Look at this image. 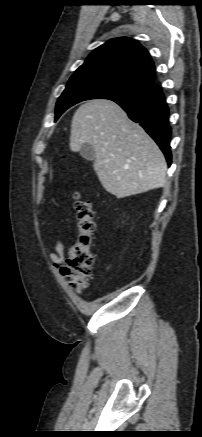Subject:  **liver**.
I'll list each match as a JSON object with an SVG mask.
<instances>
[{"instance_id":"1","label":"liver","mask_w":202,"mask_h":437,"mask_svg":"<svg viewBox=\"0 0 202 437\" xmlns=\"http://www.w3.org/2000/svg\"><path fill=\"white\" fill-rule=\"evenodd\" d=\"M85 143L96 153L94 170L104 189L124 198L163 187L167 163L153 139L115 102L95 99L72 118L70 150Z\"/></svg>"}]
</instances>
